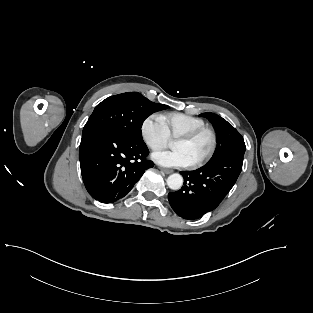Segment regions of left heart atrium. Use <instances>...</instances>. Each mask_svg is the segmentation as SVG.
Returning <instances> with one entry per match:
<instances>
[{"label": "left heart atrium", "instance_id": "left-heart-atrium-1", "mask_svg": "<svg viewBox=\"0 0 313 313\" xmlns=\"http://www.w3.org/2000/svg\"><path fill=\"white\" fill-rule=\"evenodd\" d=\"M152 159L165 167H187L191 164L186 153L180 149L156 151Z\"/></svg>", "mask_w": 313, "mask_h": 313}]
</instances>
